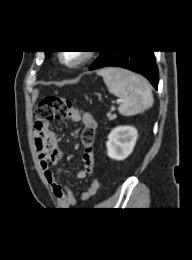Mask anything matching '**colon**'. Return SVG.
Instances as JSON below:
<instances>
[{
  "mask_svg": "<svg viewBox=\"0 0 192 260\" xmlns=\"http://www.w3.org/2000/svg\"><path fill=\"white\" fill-rule=\"evenodd\" d=\"M82 113L72 107L69 100L60 96H47L37 105L34 116L36 123H46L53 119L69 118L72 115ZM80 139L85 146V153L93 152L94 130L84 126L80 134Z\"/></svg>",
  "mask_w": 192,
  "mask_h": 260,
  "instance_id": "1",
  "label": "colon"
}]
</instances>
